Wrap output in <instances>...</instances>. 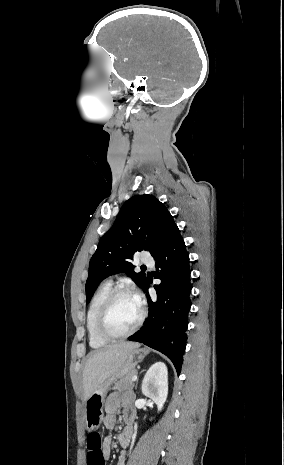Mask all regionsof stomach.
I'll list each match as a JSON object with an SVG mask.
<instances>
[{
	"instance_id": "obj_1",
	"label": "stomach",
	"mask_w": 284,
	"mask_h": 465,
	"mask_svg": "<svg viewBox=\"0 0 284 465\" xmlns=\"http://www.w3.org/2000/svg\"><path fill=\"white\" fill-rule=\"evenodd\" d=\"M146 355H148V349H139V347H137V349H132V351L128 353L125 363H123L119 371L111 375V377H107V379L99 385L98 389L92 393L91 397L85 401L84 421L87 431H97V429H99L104 417L105 397L112 383H114L120 375H127L130 371H134L136 365L142 363Z\"/></svg>"
}]
</instances>
